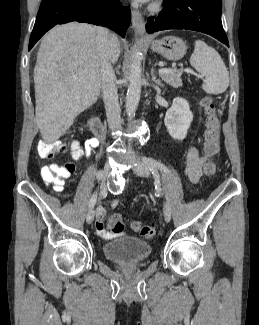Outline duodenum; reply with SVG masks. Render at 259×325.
I'll return each mask as SVG.
<instances>
[{"instance_id":"duodenum-1","label":"duodenum","mask_w":259,"mask_h":325,"mask_svg":"<svg viewBox=\"0 0 259 325\" xmlns=\"http://www.w3.org/2000/svg\"><path fill=\"white\" fill-rule=\"evenodd\" d=\"M89 125L92 133L98 139H103L105 136V127L98 116H92L89 120Z\"/></svg>"}]
</instances>
